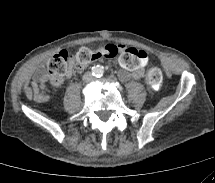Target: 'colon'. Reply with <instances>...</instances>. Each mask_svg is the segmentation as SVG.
<instances>
[{"label":"colon","mask_w":215,"mask_h":183,"mask_svg":"<svg viewBox=\"0 0 215 183\" xmlns=\"http://www.w3.org/2000/svg\"><path fill=\"white\" fill-rule=\"evenodd\" d=\"M120 47L115 45L104 46L98 50L87 47L80 48L75 54L68 51H60L47 63V73L53 78L64 77L71 66L84 68L94 61H106L118 55ZM146 83L152 89H158L163 82L161 69L152 63L145 76Z\"/></svg>","instance_id":"5ec220e1"}]
</instances>
